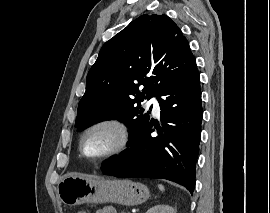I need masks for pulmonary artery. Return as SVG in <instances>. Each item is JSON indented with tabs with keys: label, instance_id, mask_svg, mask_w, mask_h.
I'll return each mask as SVG.
<instances>
[{
	"label": "pulmonary artery",
	"instance_id": "pulmonary-artery-1",
	"mask_svg": "<svg viewBox=\"0 0 270 213\" xmlns=\"http://www.w3.org/2000/svg\"><path fill=\"white\" fill-rule=\"evenodd\" d=\"M148 104L153 105V111L156 115L159 114L160 111V107H159V102H158V98L157 96H152L149 101Z\"/></svg>",
	"mask_w": 270,
	"mask_h": 213
}]
</instances>
